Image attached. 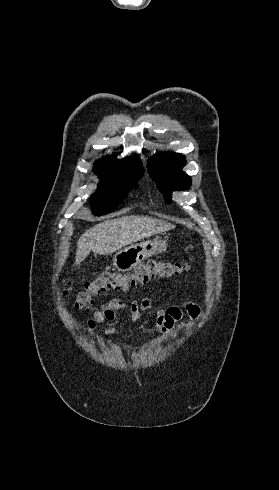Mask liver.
<instances>
[{"label": "liver", "instance_id": "obj_1", "mask_svg": "<svg viewBox=\"0 0 279 490\" xmlns=\"http://www.w3.org/2000/svg\"><path fill=\"white\" fill-rule=\"evenodd\" d=\"M173 228L175 226L168 222L146 218V216H124V218L96 224L79 238L75 264H81L90 252L100 254V256H110L129 244L150 238L155 234H162Z\"/></svg>", "mask_w": 279, "mask_h": 490}]
</instances>
